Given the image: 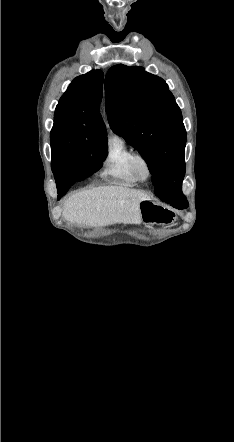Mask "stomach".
I'll return each mask as SVG.
<instances>
[{
    "label": "stomach",
    "instance_id": "1",
    "mask_svg": "<svg viewBox=\"0 0 234 442\" xmlns=\"http://www.w3.org/2000/svg\"><path fill=\"white\" fill-rule=\"evenodd\" d=\"M141 220L145 224L167 225L176 220L172 210L152 200H144L139 203Z\"/></svg>",
    "mask_w": 234,
    "mask_h": 442
}]
</instances>
